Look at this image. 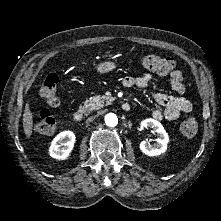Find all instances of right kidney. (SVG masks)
Returning a JSON list of instances; mask_svg holds the SVG:
<instances>
[{
	"instance_id": "obj_1",
	"label": "right kidney",
	"mask_w": 221,
	"mask_h": 221,
	"mask_svg": "<svg viewBox=\"0 0 221 221\" xmlns=\"http://www.w3.org/2000/svg\"><path fill=\"white\" fill-rule=\"evenodd\" d=\"M76 137L72 131L60 132L51 142L49 155L58 160H65L73 150Z\"/></svg>"
}]
</instances>
